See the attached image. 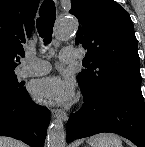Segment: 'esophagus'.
Masks as SVG:
<instances>
[{
	"label": "esophagus",
	"mask_w": 145,
	"mask_h": 147,
	"mask_svg": "<svg viewBox=\"0 0 145 147\" xmlns=\"http://www.w3.org/2000/svg\"><path fill=\"white\" fill-rule=\"evenodd\" d=\"M51 115L53 118H60L63 121H67V119H68L67 113L65 111H63L62 109H58V108L52 109Z\"/></svg>",
	"instance_id": "esophagus-1"
}]
</instances>
